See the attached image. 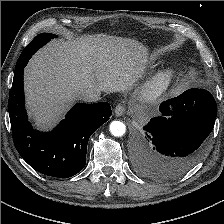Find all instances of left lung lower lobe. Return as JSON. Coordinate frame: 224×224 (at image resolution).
I'll list each match as a JSON object with an SVG mask.
<instances>
[{
	"label": "left lung lower lobe",
	"instance_id": "1",
	"mask_svg": "<svg viewBox=\"0 0 224 224\" xmlns=\"http://www.w3.org/2000/svg\"><path fill=\"white\" fill-rule=\"evenodd\" d=\"M216 102L204 89H189L160 104L161 116L143 127L135 166L141 174L170 179L201 158L216 119Z\"/></svg>",
	"mask_w": 224,
	"mask_h": 224
}]
</instances>
